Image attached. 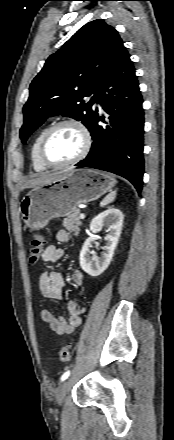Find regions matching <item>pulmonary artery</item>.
<instances>
[{"label": "pulmonary artery", "instance_id": "e3ab8cb5", "mask_svg": "<svg viewBox=\"0 0 174 440\" xmlns=\"http://www.w3.org/2000/svg\"><path fill=\"white\" fill-rule=\"evenodd\" d=\"M95 105L99 107V104H98V103H95Z\"/></svg>", "mask_w": 174, "mask_h": 440}]
</instances>
